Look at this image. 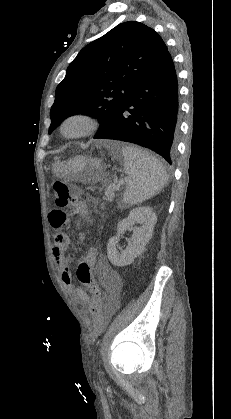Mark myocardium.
<instances>
[{
    "label": "myocardium",
    "instance_id": "f54148a6",
    "mask_svg": "<svg viewBox=\"0 0 231 419\" xmlns=\"http://www.w3.org/2000/svg\"><path fill=\"white\" fill-rule=\"evenodd\" d=\"M80 122L82 127L77 132H68L67 126L71 122ZM98 129L97 119L85 112H75L67 115L60 123L59 131L67 139H79L89 136L96 132Z\"/></svg>",
    "mask_w": 231,
    "mask_h": 419
}]
</instances>
